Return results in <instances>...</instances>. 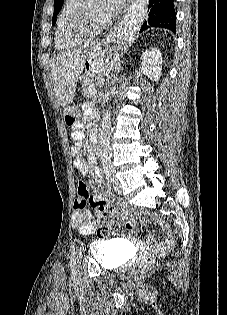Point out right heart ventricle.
I'll list each match as a JSON object with an SVG mask.
<instances>
[{
    "mask_svg": "<svg viewBox=\"0 0 227 315\" xmlns=\"http://www.w3.org/2000/svg\"><path fill=\"white\" fill-rule=\"evenodd\" d=\"M82 0H64L60 13L58 15L55 31V43L59 50H67L83 41L90 39L93 36H83L80 39H71L67 34V27L70 19L75 13L77 7Z\"/></svg>",
    "mask_w": 227,
    "mask_h": 315,
    "instance_id": "obj_1",
    "label": "right heart ventricle"
}]
</instances>
